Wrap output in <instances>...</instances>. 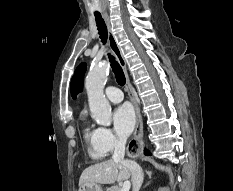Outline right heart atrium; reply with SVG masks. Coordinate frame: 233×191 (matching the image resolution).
Listing matches in <instances>:
<instances>
[{
    "label": "right heart atrium",
    "instance_id": "1",
    "mask_svg": "<svg viewBox=\"0 0 233 191\" xmlns=\"http://www.w3.org/2000/svg\"><path fill=\"white\" fill-rule=\"evenodd\" d=\"M98 144L105 154H110L124 143V140L117 136L111 129L106 127L98 128Z\"/></svg>",
    "mask_w": 233,
    "mask_h": 191
}]
</instances>
